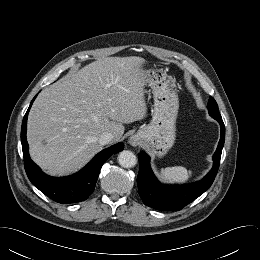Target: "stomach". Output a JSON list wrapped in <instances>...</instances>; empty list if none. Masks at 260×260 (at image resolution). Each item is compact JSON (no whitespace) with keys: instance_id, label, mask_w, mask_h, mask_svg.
<instances>
[{"instance_id":"1","label":"stomach","mask_w":260,"mask_h":260,"mask_svg":"<svg viewBox=\"0 0 260 260\" xmlns=\"http://www.w3.org/2000/svg\"><path fill=\"white\" fill-rule=\"evenodd\" d=\"M145 85L152 89V120L132 136L152 156L163 157L176 139L179 99L175 80L160 69L143 70Z\"/></svg>"}]
</instances>
